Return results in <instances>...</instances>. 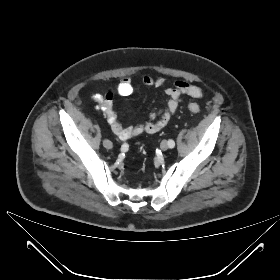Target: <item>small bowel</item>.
I'll return each mask as SVG.
<instances>
[{"label": "small bowel", "mask_w": 280, "mask_h": 280, "mask_svg": "<svg viewBox=\"0 0 280 280\" xmlns=\"http://www.w3.org/2000/svg\"><path fill=\"white\" fill-rule=\"evenodd\" d=\"M143 84L146 87H164V93L167 96L165 107L159 111L150 114L149 121L136 125L124 126L118 119V115L113 106L114 94L128 96L133 92L131 79L123 78L114 90H109L106 94L95 93L92 95L93 101L98 108L104 113L113 133L121 140H127L136 137L142 133L154 134L161 130L171 116H173L182 102L183 96L191 98H201L203 91L198 86L187 81H176L172 86L165 87V79L162 77H152L145 75Z\"/></svg>", "instance_id": "small-bowel-1"}]
</instances>
